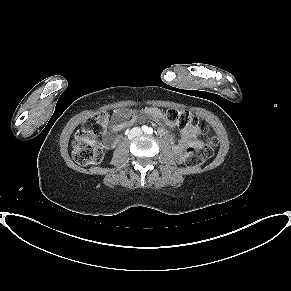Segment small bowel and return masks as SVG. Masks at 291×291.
<instances>
[{"label": "small bowel", "instance_id": "small-bowel-1", "mask_svg": "<svg viewBox=\"0 0 291 291\" xmlns=\"http://www.w3.org/2000/svg\"><path fill=\"white\" fill-rule=\"evenodd\" d=\"M145 116L165 122L166 126L161 127L159 132L161 135L167 136L170 139L178 156H181L188 147L200 146V141L198 140L200 130L197 127L183 128L180 132L179 140L175 142L169 132V126H171V124L166 120L162 111L156 107H148L142 111H129L126 109L117 110L112 117L111 131L105 135V142L110 146H115L120 140L117 133L127 127L130 122L138 121ZM128 118L130 120H126Z\"/></svg>", "mask_w": 291, "mask_h": 291}]
</instances>
